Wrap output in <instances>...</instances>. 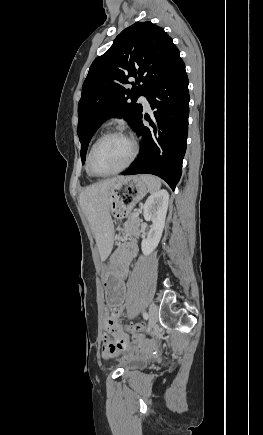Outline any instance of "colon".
I'll return each instance as SVG.
<instances>
[{"mask_svg":"<svg viewBox=\"0 0 263 435\" xmlns=\"http://www.w3.org/2000/svg\"><path fill=\"white\" fill-rule=\"evenodd\" d=\"M123 331L124 332H132L134 335H143L144 334V330L146 329V324H135V325H129V324H125L123 326ZM126 342V341H125ZM127 343V342H126ZM101 344L102 345H107L108 344V339L107 338H102L101 339ZM128 349L126 348L125 351H127Z\"/></svg>","mask_w":263,"mask_h":435,"instance_id":"1","label":"colon"}]
</instances>
